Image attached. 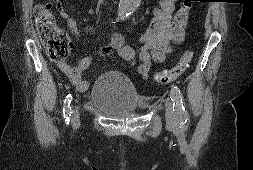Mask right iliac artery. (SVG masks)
Returning <instances> with one entry per match:
<instances>
[{
    "label": "right iliac artery",
    "instance_id": "1",
    "mask_svg": "<svg viewBox=\"0 0 253 170\" xmlns=\"http://www.w3.org/2000/svg\"><path fill=\"white\" fill-rule=\"evenodd\" d=\"M71 101H72V96L71 94H68L64 101V107H63V114H64V117L66 118L65 121H68L67 124L69 123V117L71 116V113H72L71 107H70Z\"/></svg>",
    "mask_w": 253,
    "mask_h": 170
}]
</instances>
